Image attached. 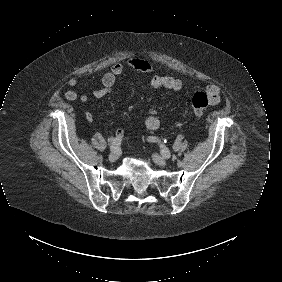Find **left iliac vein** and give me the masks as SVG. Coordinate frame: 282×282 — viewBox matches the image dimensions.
Returning <instances> with one entry per match:
<instances>
[{
  "mask_svg": "<svg viewBox=\"0 0 282 282\" xmlns=\"http://www.w3.org/2000/svg\"><path fill=\"white\" fill-rule=\"evenodd\" d=\"M152 159L153 161L159 165V166H165L166 165V160L164 157H162L161 155L157 154V153H154L152 155Z\"/></svg>",
  "mask_w": 282,
  "mask_h": 282,
  "instance_id": "left-iliac-vein-1",
  "label": "left iliac vein"
}]
</instances>
